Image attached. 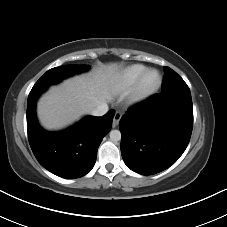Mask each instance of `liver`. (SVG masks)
Listing matches in <instances>:
<instances>
[{
  "label": "liver",
  "mask_w": 227,
  "mask_h": 227,
  "mask_svg": "<svg viewBox=\"0 0 227 227\" xmlns=\"http://www.w3.org/2000/svg\"><path fill=\"white\" fill-rule=\"evenodd\" d=\"M120 84L116 63L103 65L91 73L65 80L52 87L39 101L37 113L47 129H60L91 113L115 94Z\"/></svg>",
  "instance_id": "obj_1"
}]
</instances>
